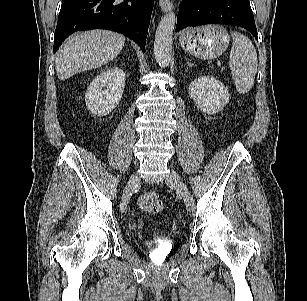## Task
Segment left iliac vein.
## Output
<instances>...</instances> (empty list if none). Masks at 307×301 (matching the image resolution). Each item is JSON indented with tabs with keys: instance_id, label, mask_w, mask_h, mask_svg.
Here are the masks:
<instances>
[{
	"instance_id": "left-iliac-vein-1",
	"label": "left iliac vein",
	"mask_w": 307,
	"mask_h": 301,
	"mask_svg": "<svg viewBox=\"0 0 307 301\" xmlns=\"http://www.w3.org/2000/svg\"><path fill=\"white\" fill-rule=\"evenodd\" d=\"M165 182L167 185L174 187L182 196L184 204L189 211L194 209L193 198L182 178L175 170H170L169 174L165 177Z\"/></svg>"
}]
</instances>
